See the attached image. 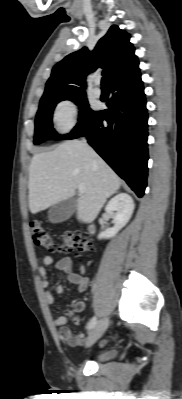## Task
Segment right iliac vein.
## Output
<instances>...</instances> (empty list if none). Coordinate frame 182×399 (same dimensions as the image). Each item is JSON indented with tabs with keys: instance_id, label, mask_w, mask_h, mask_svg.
<instances>
[{
	"instance_id": "obj_1",
	"label": "right iliac vein",
	"mask_w": 182,
	"mask_h": 399,
	"mask_svg": "<svg viewBox=\"0 0 182 399\" xmlns=\"http://www.w3.org/2000/svg\"><path fill=\"white\" fill-rule=\"evenodd\" d=\"M108 325H109L108 318L104 317V318L100 319L97 322V324L94 326L92 331L90 332V334L86 340V343H85L86 347L92 346L102 336V334L107 329Z\"/></svg>"
}]
</instances>
